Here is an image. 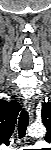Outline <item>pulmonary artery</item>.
Wrapping results in <instances>:
<instances>
[{
  "label": "pulmonary artery",
  "mask_w": 51,
  "mask_h": 150,
  "mask_svg": "<svg viewBox=\"0 0 51 150\" xmlns=\"http://www.w3.org/2000/svg\"><path fill=\"white\" fill-rule=\"evenodd\" d=\"M45 146H47V144L43 141H40V142H37L34 147L42 148V147H45ZM16 150H22V149H16Z\"/></svg>",
  "instance_id": "pulmonary-artery-1"
}]
</instances>
